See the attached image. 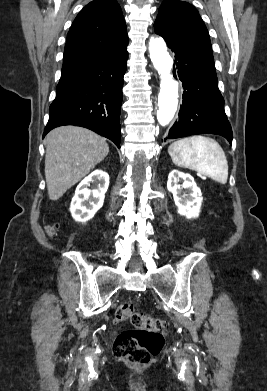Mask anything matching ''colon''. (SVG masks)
Instances as JSON below:
<instances>
[{
	"label": "colon",
	"instance_id": "1",
	"mask_svg": "<svg viewBox=\"0 0 267 391\" xmlns=\"http://www.w3.org/2000/svg\"><path fill=\"white\" fill-rule=\"evenodd\" d=\"M55 227L47 228L49 236L55 235ZM130 320L133 330L122 331L115 339L114 354L135 365H144L159 354L165 343L167 323L149 314L139 311L134 305L123 303L115 312L117 323Z\"/></svg>",
	"mask_w": 267,
	"mask_h": 391
}]
</instances>
